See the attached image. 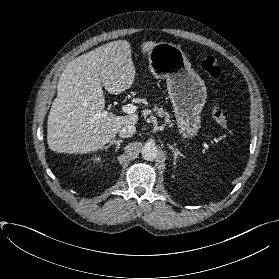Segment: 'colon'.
I'll return each mask as SVG.
<instances>
[{
    "mask_svg": "<svg viewBox=\"0 0 279 279\" xmlns=\"http://www.w3.org/2000/svg\"><path fill=\"white\" fill-rule=\"evenodd\" d=\"M201 70L212 77H217L221 73V68L217 59L211 55L204 57L201 62ZM212 115L218 125H220L226 131H229L228 120L223 108L220 105H215L213 107Z\"/></svg>",
    "mask_w": 279,
    "mask_h": 279,
    "instance_id": "1",
    "label": "colon"
}]
</instances>
